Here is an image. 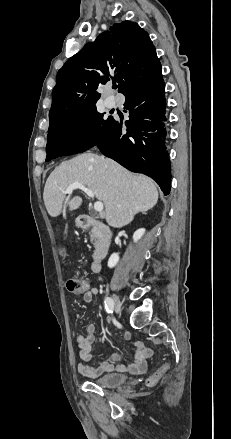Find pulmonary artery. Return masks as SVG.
Listing matches in <instances>:
<instances>
[{"label": "pulmonary artery", "instance_id": "e3ab8cb5", "mask_svg": "<svg viewBox=\"0 0 231 439\" xmlns=\"http://www.w3.org/2000/svg\"><path fill=\"white\" fill-rule=\"evenodd\" d=\"M105 105H106L107 108L111 109V108H114V107H115L116 103H115L114 99H112V98H107V99L105 100Z\"/></svg>", "mask_w": 231, "mask_h": 439}]
</instances>
